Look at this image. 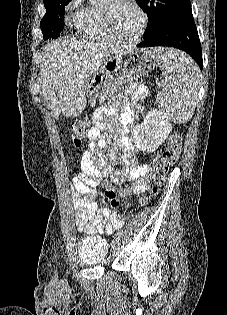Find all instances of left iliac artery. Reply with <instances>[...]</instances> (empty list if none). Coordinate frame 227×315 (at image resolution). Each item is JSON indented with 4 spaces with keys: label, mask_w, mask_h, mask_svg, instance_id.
<instances>
[{
    "label": "left iliac artery",
    "mask_w": 227,
    "mask_h": 315,
    "mask_svg": "<svg viewBox=\"0 0 227 315\" xmlns=\"http://www.w3.org/2000/svg\"><path fill=\"white\" fill-rule=\"evenodd\" d=\"M122 234H123V231H119V232H117L116 237L120 238L122 236Z\"/></svg>",
    "instance_id": "44dca946"
}]
</instances>
